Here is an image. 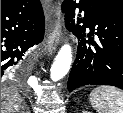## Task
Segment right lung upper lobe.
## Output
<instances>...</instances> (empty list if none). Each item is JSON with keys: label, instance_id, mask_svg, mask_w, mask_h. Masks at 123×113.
Wrapping results in <instances>:
<instances>
[{"label": "right lung upper lobe", "instance_id": "cb5924a9", "mask_svg": "<svg viewBox=\"0 0 123 113\" xmlns=\"http://www.w3.org/2000/svg\"><path fill=\"white\" fill-rule=\"evenodd\" d=\"M11 1H13V0H1V6L6 5V4L10 3Z\"/></svg>", "mask_w": 123, "mask_h": 113}]
</instances>
